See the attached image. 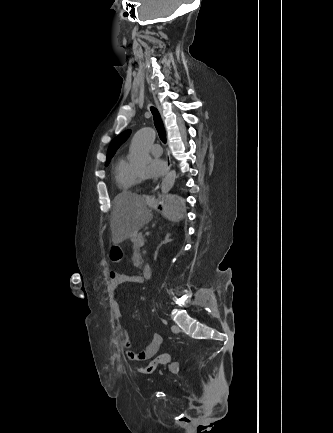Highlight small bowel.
<instances>
[{"label": "small bowel", "mask_w": 333, "mask_h": 433, "mask_svg": "<svg viewBox=\"0 0 333 433\" xmlns=\"http://www.w3.org/2000/svg\"><path fill=\"white\" fill-rule=\"evenodd\" d=\"M126 282L140 284L142 282V279L140 276L137 275H127L116 271H112L110 273V285L114 295L117 294L119 287ZM114 311L118 318L122 316L121 308L118 301L115 302ZM162 342H163L162 335L159 333H155L152 335L150 342L142 351H135L133 349V343L130 339L128 332L122 331L121 334V344L125 349V355L127 359L137 363L152 359L158 353ZM177 370H178L177 364L171 367L172 372H176Z\"/></svg>", "instance_id": "c3829d8e"}]
</instances>
